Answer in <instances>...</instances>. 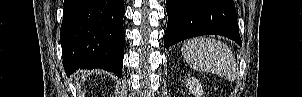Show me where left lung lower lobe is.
<instances>
[{"mask_svg":"<svg viewBox=\"0 0 302 97\" xmlns=\"http://www.w3.org/2000/svg\"><path fill=\"white\" fill-rule=\"evenodd\" d=\"M165 47L200 35H222L241 45L233 0H166Z\"/></svg>","mask_w":302,"mask_h":97,"instance_id":"1","label":"left lung lower lobe"}]
</instances>
